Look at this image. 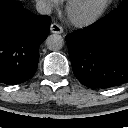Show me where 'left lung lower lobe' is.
I'll return each instance as SVG.
<instances>
[{"instance_id":"0a47b994","label":"left lung lower lobe","mask_w":128,"mask_h":128,"mask_svg":"<svg viewBox=\"0 0 128 128\" xmlns=\"http://www.w3.org/2000/svg\"><path fill=\"white\" fill-rule=\"evenodd\" d=\"M75 77L89 88L128 82V6L66 36Z\"/></svg>"}]
</instances>
